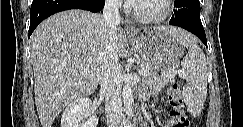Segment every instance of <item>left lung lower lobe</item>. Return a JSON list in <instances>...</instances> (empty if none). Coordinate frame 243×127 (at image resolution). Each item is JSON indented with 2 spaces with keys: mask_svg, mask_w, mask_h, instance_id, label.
Segmentation results:
<instances>
[{
  "mask_svg": "<svg viewBox=\"0 0 243 127\" xmlns=\"http://www.w3.org/2000/svg\"><path fill=\"white\" fill-rule=\"evenodd\" d=\"M175 7L177 9L174 10L169 24L190 31L207 46L205 31L200 19L199 0H177Z\"/></svg>",
  "mask_w": 243,
  "mask_h": 127,
  "instance_id": "0a47b994",
  "label": "left lung lower lobe"
}]
</instances>
